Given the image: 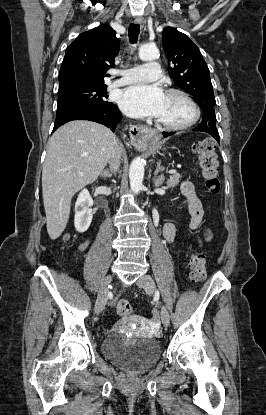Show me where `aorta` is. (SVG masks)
Here are the masks:
<instances>
[{"label":"aorta","mask_w":266,"mask_h":415,"mask_svg":"<svg viewBox=\"0 0 266 415\" xmlns=\"http://www.w3.org/2000/svg\"><path fill=\"white\" fill-rule=\"evenodd\" d=\"M158 49L149 44L142 45L139 49V58L143 61L154 60L158 57ZM130 188L138 194L143 186L144 163L141 159L136 158L130 164L129 169Z\"/></svg>","instance_id":"obj_1"}]
</instances>
